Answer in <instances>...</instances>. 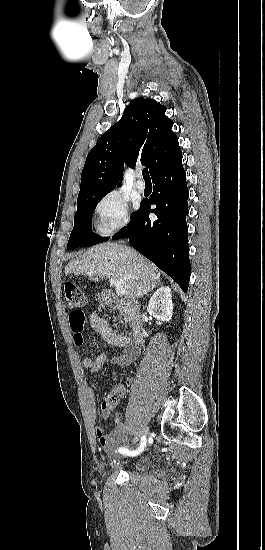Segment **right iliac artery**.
Listing matches in <instances>:
<instances>
[{"instance_id":"right-iliac-artery-1","label":"right iliac artery","mask_w":265,"mask_h":550,"mask_svg":"<svg viewBox=\"0 0 265 550\" xmlns=\"http://www.w3.org/2000/svg\"><path fill=\"white\" fill-rule=\"evenodd\" d=\"M146 446V437L145 436H142L141 437V443H140V446L138 447L137 450H134V451H129L127 448L125 447H120L119 448V452L121 454H131V455H138L139 453H141L143 451V449L145 448Z\"/></svg>"}]
</instances>
